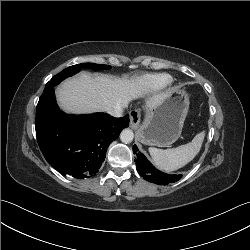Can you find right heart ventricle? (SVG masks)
Wrapping results in <instances>:
<instances>
[{"mask_svg": "<svg viewBox=\"0 0 250 250\" xmlns=\"http://www.w3.org/2000/svg\"><path fill=\"white\" fill-rule=\"evenodd\" d=\"M172 78L166 73H154L143 75L139 80L138 84L148 91H156L166 87Z\"/></svg>", "mask_w": 250, "mask_h": 250, "instance_id": "obj_1", "label": "right heart ventricle"}]
</instances>
